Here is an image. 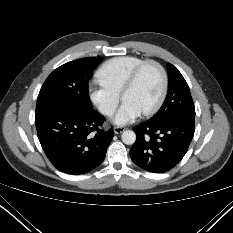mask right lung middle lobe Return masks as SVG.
Segmentation results:
<instances>
[{
    "label": "right lung middle lobe",
    "instance_id": "right-lung-middle-lobe-1",
    "mask_svg": "<svg viewBox=\"0 0 233 233\" xmlns=\"http://www.w3.org/2000/svg\"><path fill=\"white\" fill-rule=\"evenodd\" d=\"M102 60V57L81 58L55 69L39 92L35 115L59 108L91 109L88 82Z\"/></svg>",
    "mask_w": 233,
    "mask_h": 233
}]
</instances>
